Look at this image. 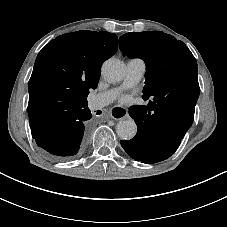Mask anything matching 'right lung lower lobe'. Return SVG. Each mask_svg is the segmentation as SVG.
<instances>
[{"label": "right lung lower lobe", "mask_w": 227, "mask_h": 227, "mask_svg": "<svg viewBox=\"0 0 227 227\" xmlns=\"http://www.w3.org/2000/svg\"><path fill=\"white\" fill-rule=\"evenodd\" d=\"M92 114L87 103L72 110L70 121L53 131L32 128V136L50 158L62 160L76 155L85 142L89 119Z\"/></svg>", "instance_id": "98d812e1"}]
</instances>
